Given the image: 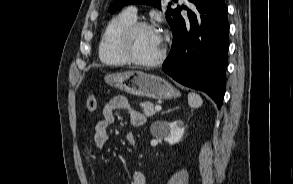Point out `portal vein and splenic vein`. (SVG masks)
<instances>
[{
	"instance_id": "obj_1",
	"label": "portal vein and splenic vein",
	"mask_w": 293,
	"mask_h": 184,
	"mask_svg": "<svg viewBox=\"0 0 293 184\" xmlns=\"http://www.w3.org/2000/svg\"><path fill=\"white\" fill-rule=\"evenodd\" d=\"M161 109H162L161 106H159V105L155 106L156 111H161Z\"/></svg>"
}]
</instances>
